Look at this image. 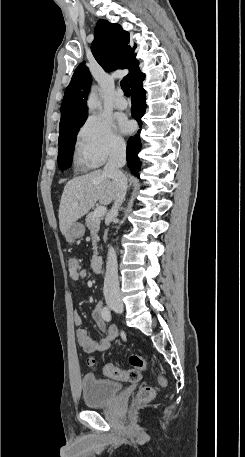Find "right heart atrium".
I'll list each match as a JSON object with an SVG mask.
<instances>
[{"label":"right heart atrium","mask_w":245,"mask_h":457,"mask_svg":"<svg viewBox=\"0 0 245 457\" xmlns=\"http://www.w3.org/2000/svg\"><path fill=\"white\" fill-rule=\"evenodd\" d=\"M77 147H81L92 162L101 164L108 157L123 150L124 140L115 131L110 120L91 115L78 131Z\"/></svg>","instance_id":"1"}]
</instances>
